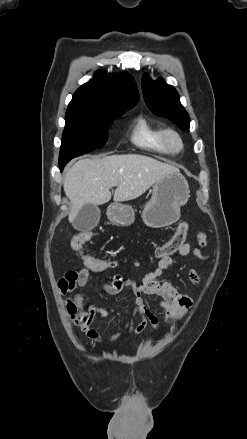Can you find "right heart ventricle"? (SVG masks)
Here are the masks:
<instances>
[{"label": "right heart ventricle", "mask_w": 247, "mask_h": 439, "mask_svg": "<svg viewBox=\"0 0 247 439\" xmlns=\"http://www.w3.org/2000/svg\"><path fill=\"white\" fill-rule=\"evenodd\" d=\"M163 129L150 118L139 115L134 119L130 131V140L138 148L166 154L168 151L162 142Z\"/></svg>", "instance_id": "1"}]
</instances>
